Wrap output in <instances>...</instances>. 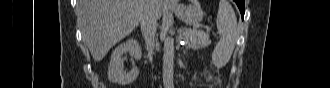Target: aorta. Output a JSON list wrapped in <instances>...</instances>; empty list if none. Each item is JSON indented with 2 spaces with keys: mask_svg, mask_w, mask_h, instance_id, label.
I'll return each instance as SVG.
<instances>
[{
  "mask_svg": "<svg viewBox=\"0 0 330 88\" xmlns=\"http://www.w3.org/2000/svg\"><path fill=\"white\" fill-rule=\"evenodd\" d=\"M163 50V85L164 88H174V40L171 36L164 37Z\"/></svg>",
  "mask_w": 330,
  "mask_h": 88,
  "instance_id": "1",
  "label": "aorta"
}]
</instances>
